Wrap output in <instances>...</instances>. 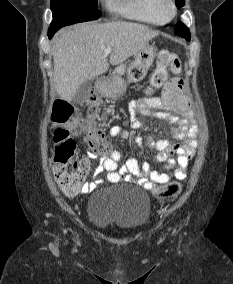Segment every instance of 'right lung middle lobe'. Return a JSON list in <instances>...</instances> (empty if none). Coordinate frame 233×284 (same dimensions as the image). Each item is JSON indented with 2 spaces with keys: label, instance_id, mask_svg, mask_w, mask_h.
<instances>
[{
  "label": "right lung middle lobe",
  "instance_id": "1",
  "mask_svg": "<svg viewBox=\"0 0 233 284\" xmlns=\"http://www.w3.org/2000/svg\"><path fill=\"white\" fill-rule=\"evenodd\" d=\"M53 21L49 33L77 22L96 20L100 17L97 0H51Z\"/></svg>",
  "mask_w": 233,
  "mask_h": 284
}]
</instances>
